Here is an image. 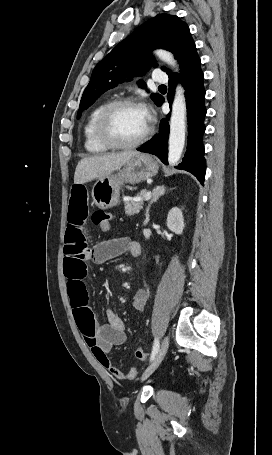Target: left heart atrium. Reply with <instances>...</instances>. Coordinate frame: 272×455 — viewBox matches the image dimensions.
Masks as SVG:
<instances>
[{
	"mask_svg": "<svg viewBox=\"0 0 272 455\" xmlns=\"http://www.w3.org/2000/svg\"><path fill=\"white\" fill-rule=\"evenodd\" d=\"M142 110L146 116V119L149 120V112H148V109L146 107H142Z\"/></svg>",
	"mask_w": 272,
	"mask_h": 455,
	"instance_id": "1",
	"label": "left heart atrium"
}]
</instances>
